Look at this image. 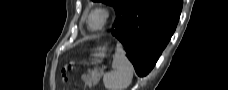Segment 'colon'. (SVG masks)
I'll list each match as a JSON object with an SVG mask.
<instances>
[{
    "mask_svg": "<svg viewBox=\"0 0 228 90\" xmlns=\"http://www.w3.org/2000/svg\"><path fill=\"white\" fill-rule=\"evenodd\" d=\"M72 67H73V62H70L67 64V66L64 68V76H66L69 73Z\"/></svg>",
    "mask_w": 228,
    "mask_h": 90,
    "instance_id": "obj_1",
    "label": "colon"
}]
</instances>
